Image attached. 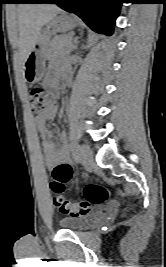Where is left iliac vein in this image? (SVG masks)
<instances>
[{
    "mask_svg": "<svg viewBox=\"0 0 166 267\" xmlns=\"http://www.w3.org/2000/svg\"><path fill=\"white\" fill-rule=\"evenodd\" d=\"M78 151L83 163L87 166H91L94 163V157L91 149L86 144L78 145Z\"/></svg>",
    "mask_w": 166,
    "mask_h": 267,
    "instance_id": "4c4485c4",
    "label": "left iliac vein"
}]
</instances>
